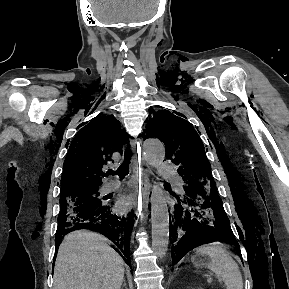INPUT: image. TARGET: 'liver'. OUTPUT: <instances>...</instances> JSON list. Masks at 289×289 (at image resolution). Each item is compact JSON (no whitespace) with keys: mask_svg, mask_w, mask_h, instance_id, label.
<instances>
[{"mask_svg":"<svg viewBox=\"0 0 289 289\" xmlns=\"http://www.w3.org/2000/svg\"><path fill=\"white\" fill-rule=\"evenodd\" d=\"M53 289H120L124 262L100 234L77 230L58 249Z\"/></svg>","mask_w":289,"mask_h":289,"instance_id":"6515ba94","label":"liver"}]
</instances>
